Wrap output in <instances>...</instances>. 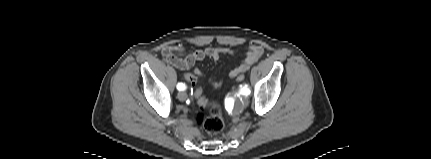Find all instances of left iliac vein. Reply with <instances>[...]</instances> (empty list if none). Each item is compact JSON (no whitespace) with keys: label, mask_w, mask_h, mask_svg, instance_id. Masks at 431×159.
Listing matches in <instances>:
<instances>
[{"label":"left iliac vein","mask_w":431,"mask_h":159,"mask_svg":"<svg viewBox=\"0 0 431 159\" xmlns=\"http://www.w3.org/2000/svg\"><path fill=\"white\" fill-rule=\"evenodd\" d=\"M248 103V99L246 97L243 98V104L246 105Z\"/></svg>","instance_id":"4c4485c4"}]
</instances>
